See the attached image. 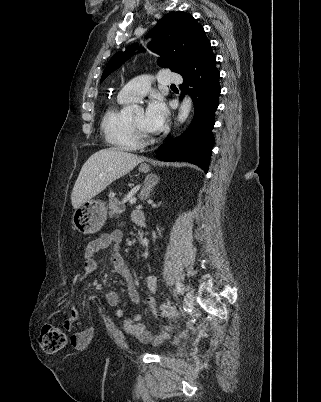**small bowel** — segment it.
Returning <instances> with one entry per match:
<instances>
[{
    "label": "small bowel",
    "instance_id": "c3829d8e",
    "mask_svg": "<svg viewBox=\"0 0 321 402\" xmlns=\"http://www.w3.org/2000/svg\"><path fill=\"white\" fill-rule=\"evenodd\" d=\"M122 240H123V231L121 229H116L114 231L102 234L99 237L90 240L85 247L84 251L85 262L83 267V273L80 276L79 280H82L84 276L95 272L100 266V261L96 257L97 254L101 250L109 246H113L112 257H111L113 270L125 279L126 291L130 300L134 304H139L140 298L136 286L127 269L125 260L121 255V253L119 252V245L122 242ZM146 287L150 293H155L157 291L158 281L157 277L154 274L150 273L146 276ZM105 297L106 302L109 306L111 307L118 306L119 296L116 292L108 291ZM146 306L152 317H156L158 315L157 302L154 297L151 296L146 299ZM115 314L117 317L122 318L125 315V311L122 308H117ZM79 319L80 315L78 311L75 309L71 310L68 318L64 321V327L68 331H71L74 328L75 324L79 321ZM123 327L128 335L136 337L137 339H139L144 343H148L154 340L147 326L142 322V315L140 313H136L133 316L126 318L124 320ZM90 335H91L90 328H83L82 330L73 333L71 337L72 346L77 350L82 349L88 343Z\"/></svg>",
    "mask_w": 321,
    "mask_h": 402
}]
</instances>
